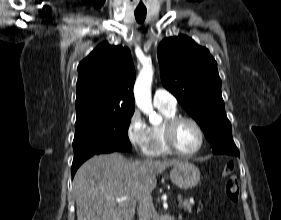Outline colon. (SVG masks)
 <instances>
[{
    "mask_svg": "<svg viewBox=\"0 0 281 220\" xmlns=\"http://www.w3.org/2000/svg\"><path fill=\"white\" fill-rule=\"evenodd\" d=\"M234 164L228 162L225 164L222 174L227 178L225 183V194L230 202L236 203L239 199V182L234 175Z\"/></svg>",
    "mask_w": 281,
    "mask_h": 220,
    "instance_id": "obj_1",
    "label": "colon"
}]
</instances>
